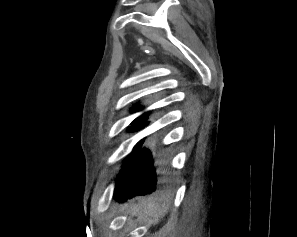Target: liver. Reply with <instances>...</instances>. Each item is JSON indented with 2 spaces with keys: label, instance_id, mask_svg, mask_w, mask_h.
<instances>
[{
  "label": "liver",
  "instance_id": "6515ba94",
  "mask_svg": "<svg viewBox=\"0 0 297 237\" xmlns=\"http://www.w3.org/2000/svg\"><path fill=\"white\" fill-rule=\"evenodd\" d=\"M138 205H126V212L131 215H136L147 226L158 224L159 221L167 214L169 205L168 203L159 204L154 198L138 197Z\"/></svg>",
  "mask_w": 297,
  "mask_h": 237
}]
</instances>
